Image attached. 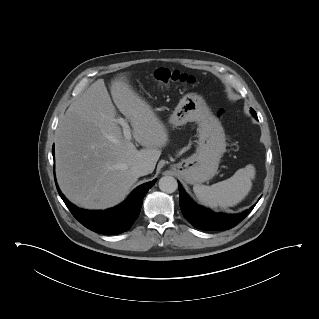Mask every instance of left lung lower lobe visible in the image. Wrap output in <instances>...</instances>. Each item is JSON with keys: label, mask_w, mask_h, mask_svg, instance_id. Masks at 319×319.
Returning <instances> with one entry per match:
<instances>
[{"label": "left lung lower lobe", "mask_w": 319, "mask_h": 319, "mask_svg": "<svg viewBox=\"0 0 319 319\" xmlns=\"http://www.w3.org/2000/svg\"><path fill=\"white\" fill-rule=\"evenodd\" d=\"M257 118V116H255ZM179 185V205L184 217L195 227L202 230H227L240 223L254 208L238 214L214 213L210 209L194 203Z\"/></svg>", "instance_id": "obj_1"}]
</instances>
